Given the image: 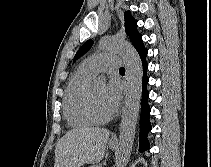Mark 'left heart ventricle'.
I'll return each instance as SVG.
<instances>
[{
	"label": "left heart ventricle",
	"instance_id": "left-heart-ventricle-1",
	"mask_svg": "<svg viewBox=\"0 0 211 167\" xmlns=\"http://www.w3.org/2000/svg\"><path fill=\"white\" fill-rule=\"evenodd\" d=\"M93 106L96 112L101 116H109V112L103 97L104 87L102 85L93 86L90 88Z\"/></svg>",
	"mask_w": 211,
	"mask_h": 167
}]
</instances>
